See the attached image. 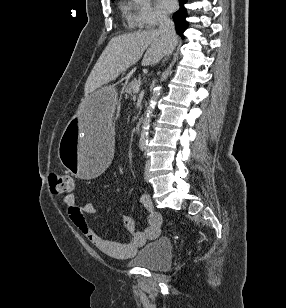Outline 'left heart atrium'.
Returning a JSON list of instances; mask_svg holds the SVG:
<instances>
[{
    "instance_id": "obj_1",
    "label": "left heart atrium",
    "mask_w": 286,
    "mask_h": 308,
    "mask_svg": "<svg viewBox=\"0 0 286 308\" xmlns=\"http://www.w3.org/2000/svg\"><path fill=\"white\" fill-rule=\"evenodd\" d=\"M157 6L164 12H171L176 8V0H157Z\"/></svg>"
}]
</instances>
